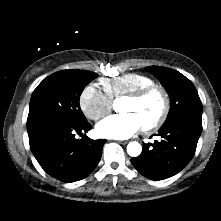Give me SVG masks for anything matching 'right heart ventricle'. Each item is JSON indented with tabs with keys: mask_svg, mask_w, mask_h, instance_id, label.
<instances>
[{
	"mask_svg": "<svg viewBox=\"0 0 221 221\" xmlns=\"http://www.w3.org/2000/svg\"><path fill=\"white\" fill-rule=\"evenodd\" d=\"M100 84L106 95L113 101L154 84V81L145 74L126 73L114 78H103L100 80Z\"/></svg>",
	"mask_w": 221,
	"mask_h": 221,
	"instance_id": "1",
	"label": "right heart ventricle"
}]
</instances>
